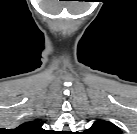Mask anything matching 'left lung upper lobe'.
Returning a JSON list of instances; mask_svg holds the SVG:
<instances>
[{
  "mask_svg": "<svg viewBox=\"0 0 137 134\" xmlns=\"http://www.w3.org/2000/svg\"><path fill=\"white\" fill-rule=\"evenodd\" d=\"M86 134H122L120 129L113 123L98 119L85 131Z\"/></svg>",
  "mask_w": 137,
  "mask_h": 134,
  "instance_id": "obj_1",
  "label": "left lung upper lobe"
}]
</instances>
